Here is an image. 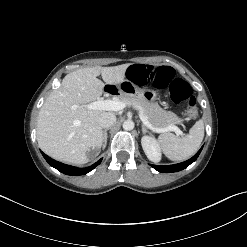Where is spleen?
<instances>
[{"instance_id":"obj_1","label":"spleen","mask_w":247,"mask_h":247,"mask_svg":"<svg viewBox=\"0 0 247 247\" xmlns=\"http://www.w3.org/2000/svg\"><path fill=\"white\" fill-rule=\"evenodd\" d=\"M204 137L203 120L197 121L189 134L177 137L172 133H165L159 137L162 151L173 161H182L197 152Z\"/></svg>"}]
</instances>
